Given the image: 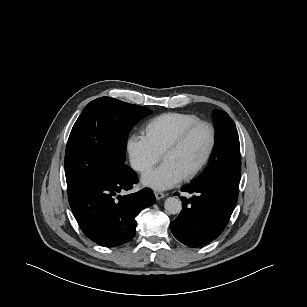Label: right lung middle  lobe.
<instances>
[{
    "instance_id": "right-lung-middle-lobe-1",
    "label": "right lung middle lobe",
    "mask_w": 307,
    "mask_h": 307,
    "mask_svg": "<svg viewBox=\"0 0 307 307\" xmlns=\"http://www.w3.org/2000/svg\"><path fill=\"white\" fill-rule=\"evenodd\" d=\"M151 113L111 97L91 101L75 122L66 147L68 195L125 166L127 139L132 127Z\"/></svg>"
}]
</instances>
